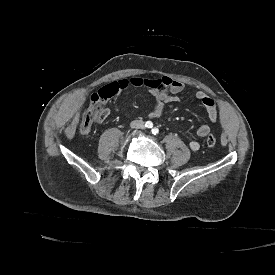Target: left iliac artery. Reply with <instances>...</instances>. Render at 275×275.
<instances>
[{
    "label": "left iliac artery",
    "mask_w": 275,
    "mask_h": 275,
    "mask_svg": "<svg viewBox=\"0 0 275 275\" xmlns=\"http://www.w3.org/2000/svg\"><path fill=\"white\" fill-rule=\"evenodd\" d=\"M152 133H153L154 135H157V134L159 133V129L156 128V127H154V128L152 129Z\"/></svg>",
    "instance_id": "left-iliac-artery-1"
}]
</instances>
